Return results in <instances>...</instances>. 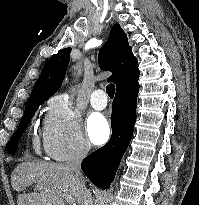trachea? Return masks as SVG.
<instances>
[{"label": "trachea", "mask_w": 199, "mask_h": 205, "mask_svg": "<svg viewBox=\"0 0 199 205\" xmlns=\"http://www.w3.org/2000/svg\"><path fill=\"white\" fill-rule=\"evenodd\" d=\"M106 92H107L108 96L112 99L114 97V94H115V85L109 84L106 87Z\"/></svg>", "instance_id": "obj_1"}]
</instances>
